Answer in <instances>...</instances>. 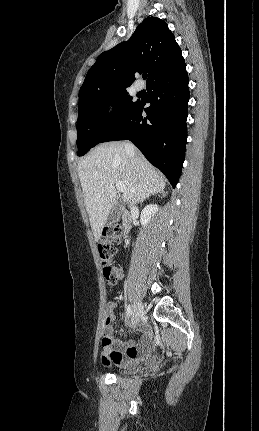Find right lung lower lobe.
Segmentation results:
<instances>
[{
	"mask_svg": "<svg viewBox=\"0 0 259 431\" xmlns=\"http://www.w3.org/2000/svg\"><path fill=\"white\" fill-rule=\"evenodd\" d=\"M188 74L185 62L147 85L148 108L138 102L103 142L130 140L151 164L160 169L173 188L185 157L188 115ZM145 111L147 117L143 118Z\"/></svg>",
	"mask_w": 259,
	"mask_h": 431,
	"instance_id": "right-lung-lower-lobe-1",
	"label": "right lung lower lobe"
}]
</instances>
